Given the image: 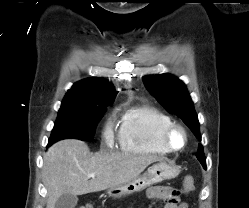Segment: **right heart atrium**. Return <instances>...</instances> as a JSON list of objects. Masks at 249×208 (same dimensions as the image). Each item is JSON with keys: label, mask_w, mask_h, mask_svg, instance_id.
I'll use <instances>...</instances> for the list:
<instances>
[{"label": "right heart atrium", "mask_w": 249, "mask_h": 208, "mask_svg": "<svg viewBox=\"0 0 249 208\" xmlns=\"http://www.w3.org/2000/svg\"><path fill=\"white\" fill-rule=\"evenodd\" d=\"M103 139L107 146H111L114 142V130L111 121H107L104 126Z\"/></svg>", "instance_id": "1"}]
</instances>
